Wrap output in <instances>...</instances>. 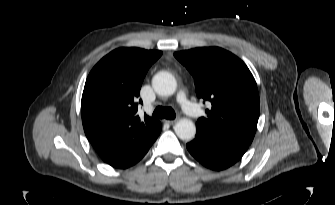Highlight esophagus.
I'll list each match as a JSON object with an SVG mask.
<instances>
[{
  "label": "esophagus",
  "instance_id": "34e87169",
  "mask_svg": "<svg viewBox=\"0 0 335 205\" xmlns=\"http://www.w3.org/2000/svg\"><path fill=\"white\" fill-rule=\"evenodd\" d=\"M166 123L170 124V125H174L177 122V119H173V120H164Z\"/></svg>",
  "mask_w": 335,
  "mask_h": 205
}]
</instances>
